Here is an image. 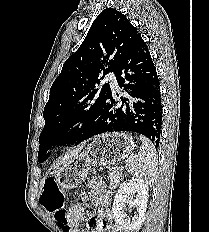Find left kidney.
<instances>
[{
  "label": "left kidney",
  "mask_w": 209,
  "mask_h": 232,
  "mask_svg": "<svg viewBox=\"0 0 209 232\" xmlns=\"http://www.w3.org/2000/svg\"><path fill=\"white\" fill-rule=\"evenodd\" d=\"M148 190V185L140 179H131L120 185L112 207L116 228L120 232H133L141 227L145 220ZM126 204L136 207L137 214L132 220L123 211Z\"/></svg>",
  "instance_id": "left-kidney-1"
}]
</instances>
